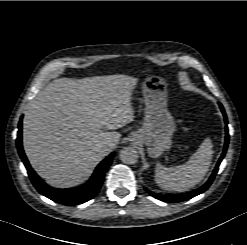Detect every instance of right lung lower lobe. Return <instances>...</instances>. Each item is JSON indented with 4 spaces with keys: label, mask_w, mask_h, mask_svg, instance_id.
I'll list each match as a JSON object with an SVG mask.
<instances>
[{
    "label": "right lung lower lobe",
    "mask_w": 247,
    "mask_h": 245,
    "mask_svg": "<svg viewBox=\"0 0 247 245\" xmlns=\"http://www.w3.org/2000/svg\"><path fill=\"white\" fill-rule=\"evenodd\" d=\"M18 129V136L16 140L18 153L28 171L32 184L40 194L63 205L82 204L97 195L103 183L105 172L111 165L114 153L107 156L97 166L91 178L82 187L72 190H57L45 184L44 181L31 168L22 148V121L19 122Z\"/></svg>",
    "instance_id": "right-lung-lower-lobe-1"
}]
</instances>
